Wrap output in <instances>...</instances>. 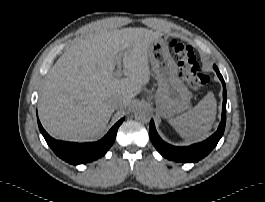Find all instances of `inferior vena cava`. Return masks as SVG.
I'll return each instance as SVG.
<instances>
[{"mask_svg":"<svg viewBox=\"0 0 265 202\" xmlns=\"http://www.w3.org/2000/svg\"><path fill=\"white\" fill-rule=\"evenodd\" d=\"M108 104L113 109H121L124 106V102L121 96L113 95L108 99Z\"/></svg>","mask_w":265,"mask_h":202,"instance_id":"obj_1","label":"inferior vena cava"}]
</instances>
